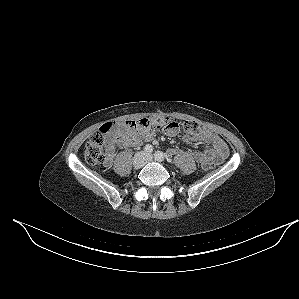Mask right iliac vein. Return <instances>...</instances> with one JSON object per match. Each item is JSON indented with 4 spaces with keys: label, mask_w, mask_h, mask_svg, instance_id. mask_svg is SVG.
I'll list each match as a JSON object with an SVG mask.
<instances>
[{
    "label": "right iliac vein",
    "mask_w": 299,
    "mask_h": 299,
    "mask_svg": "<svg viewBox=\"0 0 299 299\" xmlns=\"http://www.w3.org/2000/svg\"><path fill=\"white\" fill-rule=\"evenodd\" d=\"M145 164V155L144 153L140 152L135 155L133 160V167L134 169H140Z\"/></svg>",
    "instance_id": "63e3f726"
}]
</instances>
